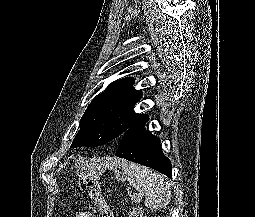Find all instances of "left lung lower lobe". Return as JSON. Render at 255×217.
<instances>
[{"mask_svg": "<svg viewBox=\"0 0 255 217\" xmlns=\"http://www.w3.org/2000/svg\"><path fill=\"white\" fill-rule=\"evenodd\" d=\"M149 120L142 115L123 134L115 155L172 176L170 160L163 154L160 139L144 128Z\"/></svg>", "mask_w": 255, "mask_h": 217, "instance_id": "0a47b994", "label": "left lung lower lobe"}]
</instances>
